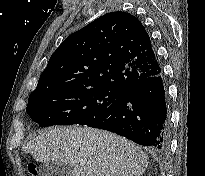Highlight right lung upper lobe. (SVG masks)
Segmentation results:
<instances>
[{"mask_svg": "<svg viewBox=\"0 0 205 176\" xmlns=\"http://www.w3.org/2000/svg\"><path fill=\"white\" fill-rule=\"evenodd\" d=\"M161 71L142 23L131 14L111 12L61 43L30 96L96 87L122 92L131 84Z\"/></svg>", "mask_w": 205, "mask_h": 176, "instance_id": "right-lung-upper-lobe-1", "label": "right lung upper lobe"}]
</instances>
